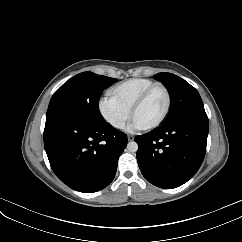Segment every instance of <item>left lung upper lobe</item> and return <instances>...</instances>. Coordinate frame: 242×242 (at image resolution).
Returning <instances> with one entry per match:
<instances>
[{"label":"left lung upper lobe","mask_w":242,"mask_h":242,"mask_svg":"<svg viewBox=\"0 0 242 242\" xmlns=\"http://www.w3.org/2000/svg\"><path fill=\"white\" fill-rule=\"evenodd\" d=\"M154 78L161 81L170 94V110L163 124L188 113L205 111L198 91L184 79L166 72L158 73Z\"/></svg>","instance_id":"left-lung-upper-lobe-1"}]
</instances>
